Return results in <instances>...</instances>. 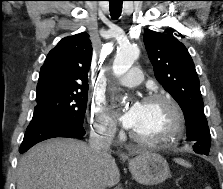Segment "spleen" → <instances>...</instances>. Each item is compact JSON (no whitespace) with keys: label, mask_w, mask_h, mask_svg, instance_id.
<instances>
[{"label":"spleen","mask_w":223,"mask_h":189,"mask_svg":"<svg viewBox=\"0 0 223 189\" xmlns=\"http://www.w3.org/2000/svg\"><path fill=\"white\" fill-rule=\"evenodd\" d=\"M175 162H177L178 164L185 166V167H191V165L183 159L177 158V159H175ZM207 189H210V188H207Z\"/></svg>","instance_id":"3e777b00"}]
</instances>
